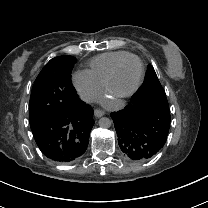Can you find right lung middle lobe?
<instances>
[{"mask_svg": "<svg viewBox=\"0 0 208 208\" xmlns=\"http://www.w3.org/2000/svg\"><path fill=\"white\" fill-rule=\"evenodd\" d=\"M75 62L72 56H58L41 70L31 92L30 123L75 108L78 95L71 82V70Z\"/></svg>", "mask_w": 208, "mask_h": 208, "instance_id": "right-lung-middle-lobe-1", "label": "right lung middle lobe"}]
</instances>
